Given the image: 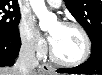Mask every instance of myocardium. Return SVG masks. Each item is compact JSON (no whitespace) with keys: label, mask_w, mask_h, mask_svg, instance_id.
I'll list each match as a JSON object with an SVG mask.
<instances>
[{"label":"myocardium","mask_w":102,"mask_h":75,"mask_svg":"<svg viewBox=\"0 0 102 75\" xmlns=\"http://www.w3.org/2000/svg\"><path fill=\"white\" fill-rule=\"evenodd\" d=\"M59 24L63 25V26L74 27L79 30V32L81 33L83 40H84V52L78 59H76L74 61H65L56 55V53L53 49V46L50 43V45H49L50 58L55 63L62 65V66H66V67H72V66H76L78 64L83 63L85 60H87V58L89 57L90 52H91V41H90L87 31L80 23H78L72 19H64V20L60 21Z\"/></svg>","instance_id":"myocardium-1"}]
</instances>
